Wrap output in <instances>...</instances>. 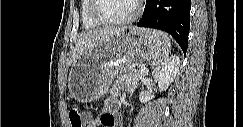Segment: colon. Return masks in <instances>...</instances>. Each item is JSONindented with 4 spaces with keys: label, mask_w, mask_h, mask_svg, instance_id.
Here are the masks:
<instances>
[{
    "label": "colon",
    "mask_w": 243,
    "mask_h": 127,
    "mask_svg": "<svg viewBox=\"0 0 243 127\" xmlns=\"http://www.w3.org/2000/svg\"><path fill=\"white\" fill-rule=\"evenodd\" d=\"M69 119L72 127H84L87 121L79 107H71L69 109Z\"/></svg>",
    "instance_id": "5ec220e1"
}]
</instances>
